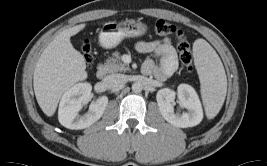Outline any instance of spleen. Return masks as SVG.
<instances>
[{
	"label": "spleen",
	"instance_id": "1",
	"mask_svg": "<svg viewBox=\"0 0 267 166\" xmlns=\"http://www.w3.org/2000/svg\"><path fill=\"white\" fill-rule=\"evenodd\" d=\"M194 63L200 79V92L208 119L222 108L227 92V78L223 64L214 49L203 39L193 45Z\"/></svg>",
	"mask_w": 267,
	"mask_h": 166
}]
</instances>
